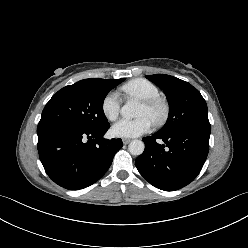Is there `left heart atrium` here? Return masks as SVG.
Listing matches in <instances>:
<instances>
[{"label": "left heart atrium", "instance_id": "1", "mask_svg": "<svg viewBox=\"0 0 248 248\" xmlns=\"http://www.w3.org/2000/svg\"><path fill=\"white\" fill-rule=\"evenodd\" d=\"M151 129V119L147 116H140L135 119H120L112 126L111 131L114 136L132 138L148 133Z\"/></svg>", "mask_w": 248, "mask_h": 248}]
</instances>
